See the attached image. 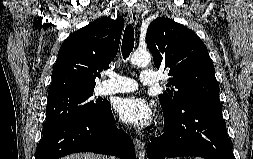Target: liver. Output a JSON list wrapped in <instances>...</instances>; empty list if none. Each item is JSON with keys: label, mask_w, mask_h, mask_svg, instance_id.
<instances>
[{"label": "liver", "mask_w": 253, "mask_h": 159, "mask_svg": "<svg viewBox=\"0 0 253 159\" xmlns=\"http://www.w3.org/2000/svg\"><path fill=\"white\" fill-rule=\"evenodd\" d=\"M61 159H109V158L94 153H75L65 156Z\"/></svg>", "instance_id": "liver-1"}]
</instances>
